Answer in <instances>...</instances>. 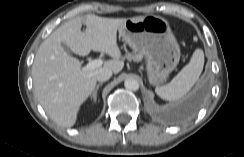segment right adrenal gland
Returning a JSON list of instances; mask_svg holds the SVG:
<instances>
[{
  "instance_id": "right-adrenal-gland-1",
  "label": "right adrenal gland",
  "mask_w": 244,
  "mask_h": 157,
  "mask_svg": "<svg viewBox=\"0 0 244 157\" xmlns=\"http://www.w3.org/2000/svg\"><path fill=\"white\" fill-rule=\"evenodd\" d=\"M102 84H103L102 82L99 83V84L96 86V88L94 89V91H93V93H92V95H91V99H93L94 102H96V100H97V92H98V90H99V87L102 86Z\"/></svg>"
}]
</instances>
